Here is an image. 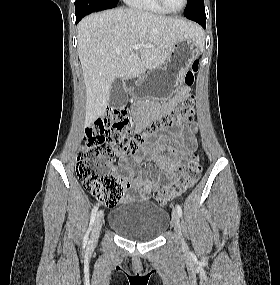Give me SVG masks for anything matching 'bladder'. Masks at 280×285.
I'll return each mask as SVG.
<instances>
[{"label": "bladder", "mask_w": 280, "mask_h": 285, "mask_svg": "<svg viewBox=\"0 0 280 285\" xmlns=\"http://www.w3.org/2000/svg\"><path fill=\"white\" fill-rule=\"evenodd\" d=\"M108 225L121 237L138 241L157 239L169 225L166 210L148 201L131 200L115 207Z\"/></svg>", "instance_id": "bladder-1"}]
</instances>
